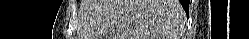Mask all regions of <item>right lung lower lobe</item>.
<instances>
[{"label": "right lung lower lobe", "mask_w": 249, "mask_h": 39, "mask_svg": "<svg viewBox=\"0 0 249 39\" xmlns=\"http://www.w3.org/2000/svg\"><path fill=\"white\" fill-rule=\"evenodd\" d=\"M181 4H182L185 12L187 13L189 10V0H181Z\"/></svg>", "instance_id": "1"}]
</instances>
